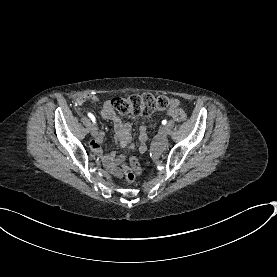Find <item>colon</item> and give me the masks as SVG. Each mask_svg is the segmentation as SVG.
<instances>
[{"label": "colon", "mask_w": 277, "mask_h": 277, "mask_svg": "<svg viewBox=\"0 0 277 277\" xmlns=\"http://www.w3.org/2000/svg\"><path fill=\"white\" fill-rule=\"evenodd\" d=\"M111 102L117 112L122 116L132 114L135 116L150 115L152 113L163 111L168 107V100L163 95L144 93L141 95H132L129 97H113ZM186 117L182 109L174 111V119L178 122L184 121ZM131 167L123 166V173L128 182H133L134 172L138 171L139 166L134 158L130 159Z\"/></svg>", "instance_id": "5ec220e1"}]
</instances>
